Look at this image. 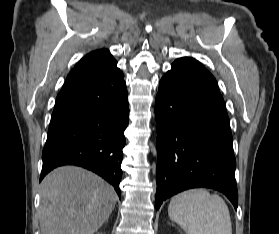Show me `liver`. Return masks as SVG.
Listing matches in <instances>:
<instances>
[{"instance_id": "liver-1", "label": "liver", "mask_w": 279, "mask_h": 234, "mask_svg": "<svg viewBox=\"0 0 279 234\" xmlns=\"http://www.w3.org/2000/svg\"><path fill=\"white\" fill-rule=\"evenodd\" d=\"M41 234H93L112 213L117 195L111 185L80 167L64 166L41 184Z\"/></svg>"}]
</instances>
